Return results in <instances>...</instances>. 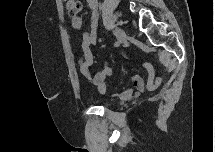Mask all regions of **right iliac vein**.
Returning <instances> with one entry per match:
<instances>
[{
	"instance_id": "obj_1",
	"label": "right iliac vein",
	"mask_w": 215,
	"mask_h": 152,
	"mask_svg": "<svg viewBox=\"0 0 215 152\" xmlns=\"http://www.w3.org/2000/svg\"><path fill=\"white\" fill-rule=\"evenodd\" d=\"M115 35L120 44H123L126 41V34L122 29H116Z\"/></svg>"
}]
</instances>
